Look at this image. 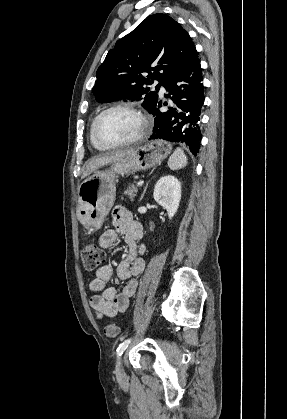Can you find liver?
I'll return each mask as SVG.
<instances>
[{
  "mask_svg": "<svg viewBox=\"0 0 287 419\" xmlns=\"http://www.w3.org/2000/svg\"><path fill=\"white\" fill-rule=\"evenodd\" d=\"M133 151V149H129V150H123V151H118V152H114V153H109V154H104V155H100L97 156L95 158H93L92 160H90L83 171L82 174V178L87 177L88 175H90L92 172L96 171L97 169L112 163L116 160H119L123 157H125L126 155H128L129 153H131Z\"/></svg>",
  "mask_w": 287,
  "mask_h": 419,
  "instance_id": "obj_1",
  "label": "liver"
}]
</instances>
